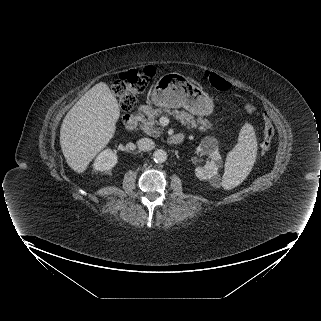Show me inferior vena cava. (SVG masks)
<instances>
[{
    "label": "inferior vena cava",
    "mask_w": 321,
    "mask_h": 321,
    "mask_svg": "<svg viewBox=\"0 0 321 321\" xmlns=\"http://www.w3.org/2000/svg\"><path fill=\"white\" fill-rule=\"evenodd\" d=\"M138 148L142 151H150L154 148L155 144L152 139L141 138L137 142Z\"/></svg>",
    "instance_id": "inferior-vena-cava-1"
}]
</instances>
